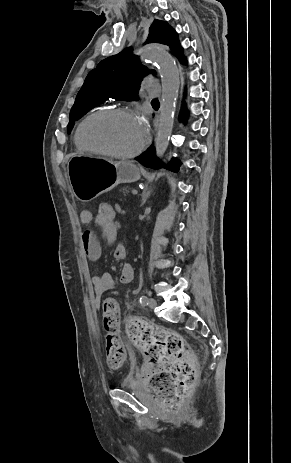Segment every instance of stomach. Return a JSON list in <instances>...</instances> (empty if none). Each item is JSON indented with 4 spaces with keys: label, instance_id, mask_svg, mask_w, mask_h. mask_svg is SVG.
<instances>
[{
    "label": "stomach",
    "instance_id": "0dacf381",
    "mask_svg": "<svg viewBox=\"0 0 291 463\" xmlns=\"http://www.w3.org/2000/svg\"><path fill=\"white\" fill-rule=\"evenodd\" d=\"M67 175L75 197L83 202L95 199L120 183L140 179L135 164L91 154H72L67 163Z\"/></svg>",
    "mask_w": 291,
    "mask_h": 463
}]
</instances>
